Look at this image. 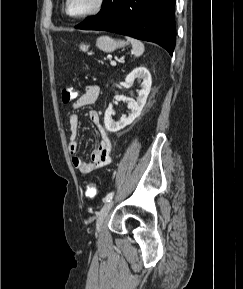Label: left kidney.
<instances>
[{"instance_id": "5707ae66", "label": "left kidney", "mask_w": 243, "mask_h": 289, "mask_svg": "<svg viewBox=\"0 0 243 289\" xmlns=\"http://www.w3.org/2000/svg\"><path fill=\"white\" fill-rule=\"evenodd\" d=\"M142 79L141 89L138 91L137 101L131 100L128 102V108L131 110L127 117H122L119 121L112 120L113 105L109 104L104 117L105 128L109 132H117L127 125H130L137 117L140 116L141 111L146 104L147 97L150 93L152 79L150 72L145 67H138L127 75L125 82L131 86L135 79Z\"/></svg>"}]
</instances>
